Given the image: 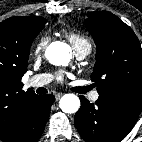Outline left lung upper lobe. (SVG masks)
<instances>
[{"label":"left lung upper lobe","instance_id":"1","mask_svg":"<svg viewBox=\"0 0 142 142\" xmlns=\"http://www.w3.org/2000/svg\"><path fill=\"white\" fill-rule=\"evenodd\" d=\"M85 25L96 43L91 75L99 98L123 111L142 109V49L133 30L108 11L88 13Z\"/></svg>","mask_w":142,"mask_h":142}]
</instances>
